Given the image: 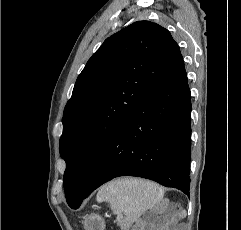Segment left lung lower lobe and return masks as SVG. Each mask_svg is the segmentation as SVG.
I'll return each instance as SVG.
<instances>
[{"mask_svg":"<svg viewBox=\"0 0 241 230\" xmlns=\"http://www.w3.org/2000/svg\"><path fill=\"white\" fill-rule=\"evenodd\" d=\"M191 96L184 61L143 102L102 149L79 201L119 176L147 178L189 195Z\"/></svg>","mask_w":241,"mask_h":230,"instance_id":"left-lung-lower-lobe-1","label":"left lung lower lobe"}]
</instances>
